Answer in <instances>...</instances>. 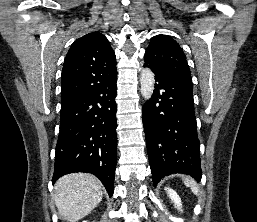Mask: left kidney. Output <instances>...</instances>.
<instances>
[{
	"label": "left kidney",
	"instance_id": "obj_1",
	"mask_svg": "<svg viewBox=\"0 0 257 222\" xmlns=\"http://www.w3.org/2000/svg\"><path fill=\"white\" fill-rule=\"evenodd\" d=\"M165 190L171 201L174 203L175 208L182 212V203L179 195L173 189L166 187Z\"/></svg>",
	"mask_w": 257,
	"mask_h": 222
}]
</instances>
